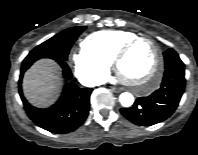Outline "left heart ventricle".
<instances>
[{"instance_id":"1","label":"left heart ventricle","mask_w":198,"mask_h":155,"mask_svg":"<svg viewBox=\"0 0 198 155\" xmlns=\"http://www.w3.org/2000/svg\"><path fill=\"white\" fill-rule=\"evenodd\" d=\"M155 51L147 41L137 43L119 64L120 75L129 81L141 83L151 72Z\"/></svg>"}]
</instances>
